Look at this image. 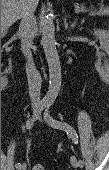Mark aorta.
<instances>
[{"mask_svg": "<svg viewBox=\"0 0 109 170\" xmlns=\"http://www.w3.org/2000/svg\"><path fill=\"white\" fill-rule=\"evenodd\" d=\"M42 45L49 67V88L44 97L45 102L54 103L61 87V65L55 41V26L50 17L41 21Z\"/></svg>", "mask_w": 109, "mask_h": 170, "instance_id": "1", "label": "aorta"}]
</instances>
